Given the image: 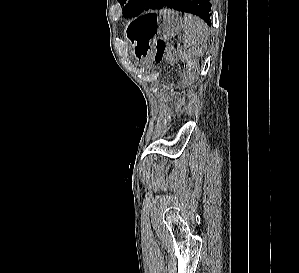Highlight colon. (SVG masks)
<instances>
[{
	"label": "colon",
	"mask_w": 299,
	"mask_h": 273,
	"mask_svg": "<svg viewBox=\"0 0 299 273\" xmlns=\"http://www.w3.org/2000/svg\"><path fill=\"white\" fill-rule=\"evenodd\" d=\"M176 59L174 49L164 40H158L155 44V60L158 63H174Z\"/></svg>",
	"instance_id": "5ec220e1"
}]
</instances>
